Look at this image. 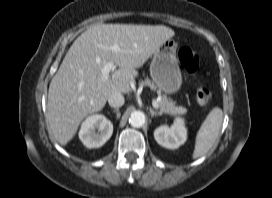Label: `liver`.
<instances>
[{"label":"liver","instance_id":"1","mask_svg":"<svg viewBox=\"0 0 272 198\" xmlns=\"http://www.w3.org/2000/svg\"><path fill=\"white\" fill-rule=\"evenodd\" d=\"M175 32L163 25L95 24L71 45L52 78L47 118L55 139L66 145L82 120L103 109L113 93L126 94L137 68ZM118 44L120 50L110 48ZM114 62L119 69L102 80V69Z\"/></svg>","mask_w":272,"mask_h":198}]
</instances>
